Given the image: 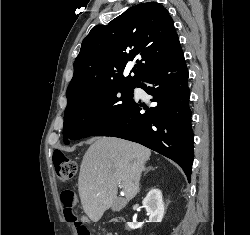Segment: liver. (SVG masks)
Segmentation results:
<instances>
[{
  "label": "liver",
  "instance_id": "obj_1",
  "mask_svg": "<svg viewBox=\"0 0 250 235\" xmlns=\"http://www.w3.org/2000/svg\"><path fill=\"white\" fill-rule=\"evenodd\" d=\"M151 151L137 143L114 137H102L86 151L78 178L82 207L93 222L120 200L124 206L139 191V181ZM118 187L125 199L117 198Z\"/></svg>",
  "mask_w": 250,
  "mask_h": 235
}]
</instances>
